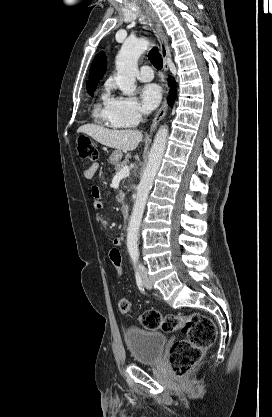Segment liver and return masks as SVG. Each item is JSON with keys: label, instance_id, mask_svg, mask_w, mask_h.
Returning <instances> with one entry per match:
<instances>
[{"label": "liver", "instance_id": "obj_1", "mask_svg": "<svg viewBox=\"0 0 272 417\" xmlns=\"http://www.w3.org/2000/svg\"><path fill=\"white\" fill-rule=\"evenodd\" d=\"M77 132L89 135L102 145L124 151L135 150L143 138L138 130H111L94 124L82 125Z\"/></svg>", "mask_w": 272, "mask_h": 417}]
</instances>
